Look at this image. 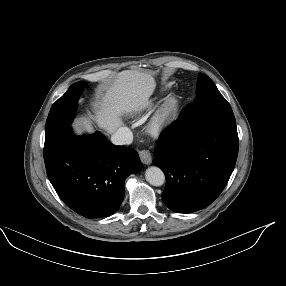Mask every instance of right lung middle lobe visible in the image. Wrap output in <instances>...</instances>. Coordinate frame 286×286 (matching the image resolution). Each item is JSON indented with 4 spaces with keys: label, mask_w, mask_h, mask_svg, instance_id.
Segmentation results:
<instances>
[{
    "label": "right lung middle lobe",
    "mask_w": 286,
    "mask_h": 286,
    "mask_svg": "<svg viewBox=\"0 0 286 286\" xmlns=\"http://www.w3.org/2000/svg\"><path fill=\"white\" fill-rule=\"evenodd\" d=\"M83 88V83H74L69 87L67 92L52 105L46 121L45 137L70 127L75 117L77 101Z\"/></svg>",
    "instance_id": "1"
}]
</instances>
